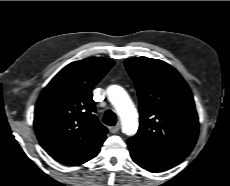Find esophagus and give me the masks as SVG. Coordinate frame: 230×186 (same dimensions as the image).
<instances>
[{
	"label": "esophagus",
	"instance_id": "esophagus-1",
	"mask_svg": "<svg viewBox=\"0 0 230 186\" xmlns=\"http://www.w3.org/2000/svg\"><path fill=\"white\" fill-rule=\"evenodd\" d=\"M119 129H120V124H117V125H115V126H112V127H109V131L111 132V133H117L118 131H119Z\"/></svg>",
	"mask_w": 230,
	"mask_h": 186
}]
</instances>
